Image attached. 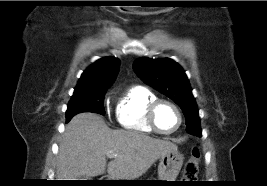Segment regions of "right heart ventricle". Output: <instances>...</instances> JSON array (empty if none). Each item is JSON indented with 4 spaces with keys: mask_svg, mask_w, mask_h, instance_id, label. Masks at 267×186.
Returning <instances> with one entry per match:
<instances>
[{
    "mask_svg": "<svg viewBox=\"0 0 267 186\" xmlns=\"http://www.w3.org/2000/svg\"><path fill=\"white\" fill-rule=\"evenodd\" d=\"M157 96L143 86L129 89L118 101L116 106V120L120 128L141 134H152L154 131L146 120L148 105Z\"/></svg>",
    "mask_w": 267,
    "mask_h": 186,
    "instance_id": "e07e8e85",
    "label": "right heart ventricle"
}]
</instances>
